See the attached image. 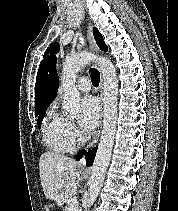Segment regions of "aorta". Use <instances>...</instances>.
Here are the masks:
<instances>
[{
    "instance_id": "aorta-1",
    "label": "aorta",
    "mask_w": 178,
    "mask_h": 211,
    "mask_svg": "<svg viewBox=\"0 0 178 211\" xmlns=\"http://www.w3.org/2000/svg\"><path fill=\"white\" fill-rule=\"evenodd\" d=\"M92 61L100 66L103 75V130L91 168L89 195L86 203V211L93 204L103 184L108 168L117 124L118 105V81L113 63L101 56L82 52L75 56L67 57L62 69V87L64 91L63 108L66 112L76 115L80 111V95L75 87L77 73Z\"/></svg>"
}]
</instances>
